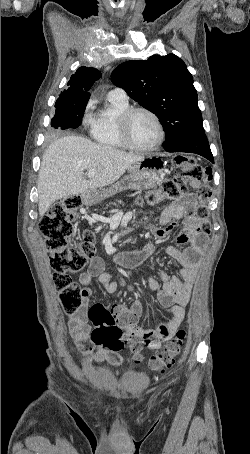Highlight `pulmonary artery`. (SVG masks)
<instances>
[{
  "label": "pulmonary artery",
  "instance_id": "obj_1",
  "mask_svg": "<svg viewBox=\"0 0 250 454\" xmlns=\"http://www.w3.org/2000/svg\"><path fill=\"white\" fill-rule=\"evenodd\" d=\"M108 97L122 102H128L127 93L121 88H115L109 91Z\"/></svg>",
  "mask_w": 250,
  "mask_h": 454
}]
</instances>
